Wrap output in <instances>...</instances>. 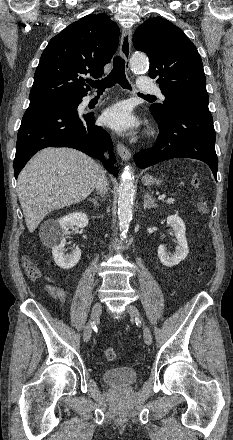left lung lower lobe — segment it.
<instances>
[{"mask_svg": "<svg viewBox=\"0 0 233 440\" xmlns=\"http://www.w3.org/2000/svg\"><path fill=\"white\" fill-rule=\"evenodd\" d=\"M160 129L155 145L134 156L140 168L161 161L184 157L201 160L209 165L216 179L218 159L215 152L213 118L207 106L183 104L176 106L166 119L153 115Z\"/></svg>", "mask_w": 233, "mask_h": 440, "instance_id": "left-lung-lower-lobe-1", "label": "left lung lower lobe"}]
</instances>
